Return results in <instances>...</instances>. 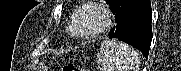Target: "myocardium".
Returning a JSON list of instances; mask_svg holds the SVG:
<instances>
[{
    "label": "myocardium",
    "mask_w": 181,
    "mask_h": 71,
    "mask_svg": "<svg viewBox=\"0 0 181 71\" xmlns=\"http://www.w3.org/2000/svg\"><path fill=\"white\" fill-rule=\"evenodd\" d=\"M87 9H93L97 11L102 17V24L95 30L84 33L79 30V20L82 13ZM111 11L98 1H88L82 4L73 14L72 21L70 23V33L80 39H93L104 34L112 24Z\"/></svg>",
    "instance_id": "obj_1"
}]
</instances>
